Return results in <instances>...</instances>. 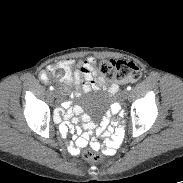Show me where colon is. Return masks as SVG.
<instances>
[{
	"instance_id": "obj_1",
	"label": "colon",
	"mask_w": 183,
	"mask_h": 183,
	"mask_svg": "<svg viewBox=\"0 0 183 183\" xmlns=\"http://www.w3.org/2000/svg\"><path fill=\"white\" fill-rule=\"evenodd\" d=\"M97 69L104 78L120 84L136 82L142 76L141 68L136 63L126 60L105 59L98 63ZM46 73L49 78L54 75L53 72ZM83 156L93 162L102 160L99 154L90 149H85Z\"/></svg>"
}]
</instances>
